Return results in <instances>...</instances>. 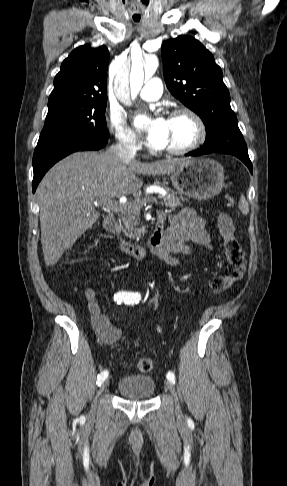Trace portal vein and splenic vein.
<instances>
[{"label":"portal vein and splenic vein","instance_id":"portal-vein-and-splenic-vein-1","mask_svg":"<svg viewBox=\"0 0 287 486\" xmlns=\"http://www.w3.org/2000/svg\"><path fill=\"white\" fill-rule=\"evenodd\" d=\"M157 203V199L155 197H148L141 201L140 205H145L146 203ZM96 204L103 205L107 208H110L115 211H120L126 203V198H120V201L112 200L111 198L104 197L100 199Z\"/></svg>","mask_w":287,"mask_h":486}]
</instances>
